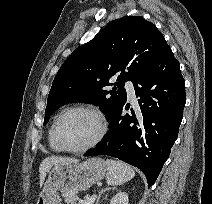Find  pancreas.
Listing matches in <instances>:
<instances>
[{
	"instance_id": "cf45deb5",
	"label": "pancreas",
	"mask_w": 212,
	"mask_h": 204,
	"mask_svg": "<svg viewBox=\"0 0 212 204\" xmlns=\"http://www.w3.org/2000/svg\"><path fill=\"white\" fill-rule=\"evenodd\" d=\"M62 197L67 204H76L77 195L73 190H66L62 192Z\"/></svg>"
}]
</instances>
